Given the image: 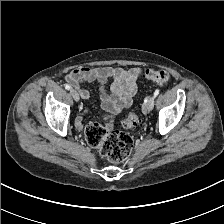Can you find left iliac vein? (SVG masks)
<instances>
[{
    "instance_id": "left-iliac-vein-1",
    "label": "left iliac vein",
    "mask_w": 224,
    "mask_h": 224,
    "mask_svg": "<svg viewBox=\"0 0 224 224\" xmlns=\"http://www.w3.org/2000/svg\"><path fill=\"white\" fill-rule=\"evenodd\" d=\"M154 102H155L154 96L149 97L147 102L144 105L145 111L150 112L154 107Z\"/></svg>"
}]
</instances>
